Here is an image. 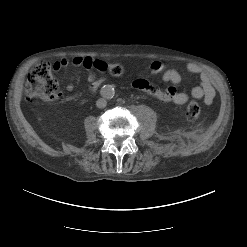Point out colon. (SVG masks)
Returning <instances> with one entry per match:
<instances>
[{
  "instance_id": "1",
  "label": "colon",
  "mask_w": 247,
  "mask_h": 247,
  "mask_svg": "<svg viewBox=\"0 0 247 247\" xmlns=\"http://www.w3.org/2000/svg\"><path fill=\"white\" fill-rule=\"evenodd\" d=\"M93 67L112 75H120L122 73V67L114 63L95 60ZM25 91L29 99L40 98L43 100H52L60 95L59 84L53 77L50 64L40 63L30 71L27 77ZM200 99L201 97L195 91L190 94L185 107L182 109V114L186 118L192 119L199 115L201 109Z\"/></svg>"
}]
</instances>
